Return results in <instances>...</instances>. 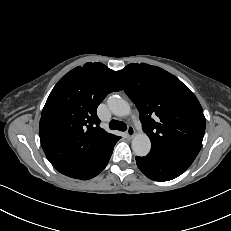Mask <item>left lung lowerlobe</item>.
<instances>
[{
  "label": "left lung lower lobe",
  "instance_id": "left-lung-lower-lobe-1",
  "mask_svg": "<svg viewBox=\"0 0 231 231\" xmlns=\"http://www.w3.org/2000/svg\"><path fill=\"white\" fill-rule=\"evenodd\" d=\"M195 158L152 150L146 157H136L138 168L150 179L169 181L181 175Z\"/></svg>",
  "mask_w": 231,
  "mask_h": 231
}]
</instances>
